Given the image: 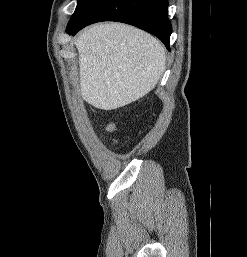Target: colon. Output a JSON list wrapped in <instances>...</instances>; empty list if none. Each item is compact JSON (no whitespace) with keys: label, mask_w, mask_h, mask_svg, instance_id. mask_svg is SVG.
I'll return each mask as SVG.
<instances>
[{"label":"colon","mask_w":247,"mask_h":257,"mask_svg":"<svg viewBox=\"0 0 247 257\" xmlns=\"http://www.w3.org/2000/svg\"><path fill=\"white\" fill-rule=\"evenodd\" d=\"M108 130L109 131H113L114 130V126L113 125H108Z\"/></svg>","instance_id":"1"}]
</instances>
